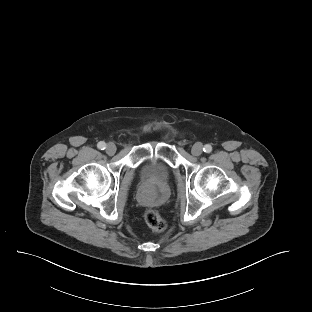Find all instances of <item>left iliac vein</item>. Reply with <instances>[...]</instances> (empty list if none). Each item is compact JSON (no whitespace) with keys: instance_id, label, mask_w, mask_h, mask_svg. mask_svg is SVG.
Segmentation results:
<instances>
[{"instance_id":"obj_1","label":"left iliac vein","mask_w":312,"mask_h":312,"mask_svg":"<svg viewBox=\"0 0 312 312\" xmlns=\"http://www.w3.org/2000/svg\"><path fill=\"white\" fill-rule=\"evenodd\" d=\"M203 152V146L201 143H195L191 149V153L194 156H199Z\"/></svg>"}]
</instances>
